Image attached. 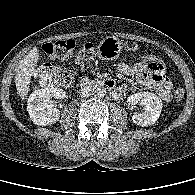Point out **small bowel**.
<instances>
[{
	"instance_id": "obj_1",
	"label": "small bowel",
	"mask_w": 195,
	"mask_h": 195,
	"mask_svg": "<svg viewBox=\"0 0 195 195\" xmlns=\"http://www.w3.org/2000/svg\"><path fill=\"white\" fill-rule=\"evenodd\" d=\"M117 70L123 75L133 76L135 80L143 86L154 90L162 100L170 101L172 98L171 88L172 83L166 76H157L146 71L144 65L139 62L134 65L119 63ZM126 92L125 87H117V90L112 93L114 97H122Z\"/></svg>"
}]
</instances>
